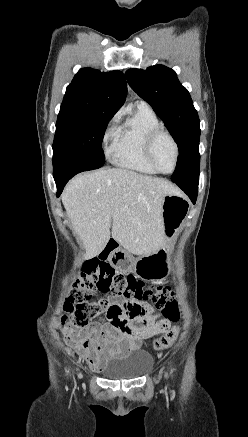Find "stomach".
I'll return each instance as SVG.
<instances>
[{
    "instance_id": "1",
    "label": "stomach",
    "mask_w": 248,
    "mask_h": 437,
    "mask_svg": "<svg viewBox=\"0 0 248 437\" xmlns=\"http://www.w3.org/2000/svg\"><path fill=\"white\" fill-rule=\"evenodd\" d=\"M187 199L180 194H168L163 199V234L164 245L150 255L135 259L125 250L114 255L116 272L137 273L138 279H164L166 277L167 261L171 243L181 229L188 214ZM156 283V280H152Z\"/></svg>"
}]
</instances>
